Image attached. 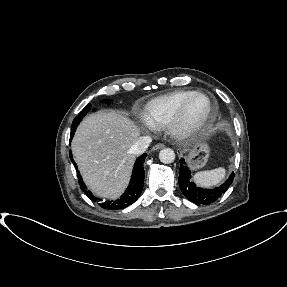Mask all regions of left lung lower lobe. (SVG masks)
I'll list each match as a JSON object with an SVG mask.
<instances>
[{"instance_id": "obj_1", "label": "left lung lower lobe", "mask_w": 287, "mask_h": 287, "mask_svg": "<svg viewBox=\"0 0 287 287\" xmlns=\"http://www.w3.org/2000/svg\"><path fill=\"white\" fill-rule=\"evenodd\" d=\"M235 174L232 173L228 180L214 189H203L197 187L190 181V171L183 158L180 159L179 187L182 193L195 204H210L216 201L232 184Z\"/></svg>"}]
</instances>
